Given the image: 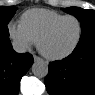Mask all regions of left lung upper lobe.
<instances>
[{"label": "left lung upper lobe", "mask_w": 95, "mask_h": 95, "mask_svg": "<svg viewBox=\"0 0 95 95\" xmlns=\"http://www.w3.org/2000/svg\"><path fill=\"white\" fill-rule=\"evenodd\" d=\"M65 12L75 15L81 22L82 34L79 42L95 37V11L78 7L63 9Z\"/></svg>", "instance_id": "left-lung-upper-lobe-1"}]
</instances>
